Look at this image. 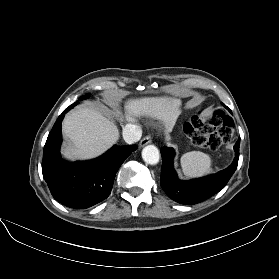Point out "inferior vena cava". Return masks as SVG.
Returning <instances> with one entry per match:
<instances>
[{"label":"inferior vena cava","mask_w":279,"mask_h":279,"mask_svg":"<svg viewBox=\"0 0 279 279\" xmlns=\"http://www.w3.org/2000/svg\"><path fill=\"white\" fill-rule=\"evenodd\" d=\"M142 136V131L137 125L127 124L123 129V138L126 143L133 144L138 142Z\"/></svg>","instance_id":"obj_1"}]
</instances>
